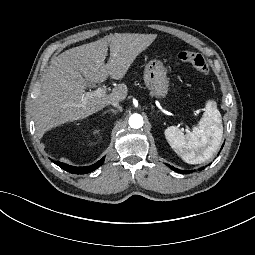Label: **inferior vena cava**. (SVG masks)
I'll list each match as a JSON object with an SVG mask.
<instances>
[{
  "label": "inferior vena cava",
  "mask_w": 255,
  "mask_h": 255,
  "mask_svg": "<svg viewBox=\"0 0 255 255\" xmlns=\"http://www.w3.org/2000/svg\"><path fill=\"white\" fill-rule=\"evenodd\" d=\"M109 104L115 107L117 111H120V112L122 111V107L120 106L118 101H110Z\"/></svg>",
  "instance_id": "obj_1"
}]
</instances>
